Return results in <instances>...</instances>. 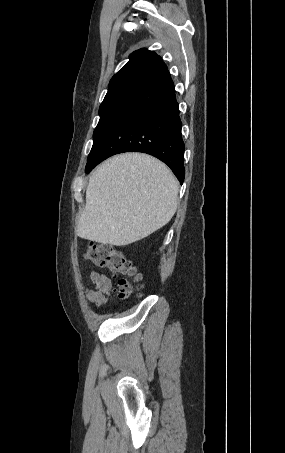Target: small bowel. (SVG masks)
<instances>
[{"instance_id":"small-bowel-1","label":"small bowel","mask_w":285,"mask_h":453,"mask_svg":"<svg viewBox=\"0 0 285 453\" xmlns=\"http://www.w3.org/2000/svg\"><path fill=\"white\" fill-rule=\"evenodd\" d=\"M89 276L94 284V288H86V299L89 302L94 303L96 307H101L107 300L112 288V283L107 276L100 272L91 271Z\"/></svg>"}]
</instances>
